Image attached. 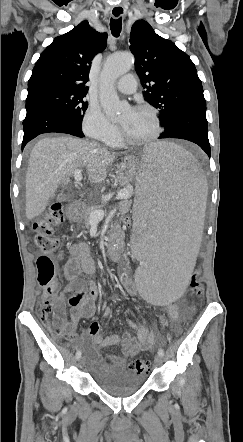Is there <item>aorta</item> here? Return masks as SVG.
Returning <instances> with one entry per match:
<instances>
[{"mask_svg": "<svg viewBox=\"0 0 243 442\" xmlns=\"http://www.w3.org/2000/svg\"><path fill=\"white\" fill-rule=\"evenodd\" d=\"M133 64L129 54H112L105 63L102 72V84L100 90V103L105 114L110 118L118 117L129 105L121 101L114 89V82L128 72Z\"/></svg>", "mask_w": 243, "mask_h": 442, "instance_id": "762f6f07", "label": "aorta"}]
</instances>
